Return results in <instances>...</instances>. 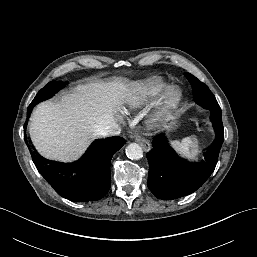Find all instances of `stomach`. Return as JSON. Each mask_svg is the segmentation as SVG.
Returning a JSON list of instances; mask_svg holds the SVG:
<instances>
[{"mask_svg":"<svg viewBox=\"0 0 257 257\" xmlns=\"http://www.w3.org/2000/svg\"><path fill=\"white\" fill-rule=\"evenodd\" d=\"M167 122H168V127L173 128L175 126V124H176V117L170 116L167 119Z\"/></svg>","mask_w":257,"mask_h":257,"instance_id":"stomach-1","label":"stomach"}]
</instances>
